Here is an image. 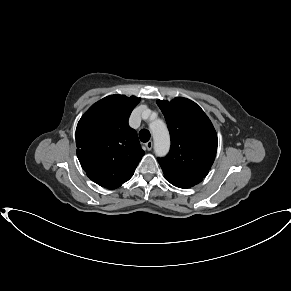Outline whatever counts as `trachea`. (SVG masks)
Instances as JSON below:
<instances>
[{"label":"trachea","mask_w":291,"mask_h":291,"mask_svg":"<svg viewBox=\"0 0 291 291\" xmlns=\"http://www.w3.org/2000/svg\"><path fill=\"white\" fill-rule=\"evenodd\" d=\"M139 138L142 142H148L150 139V132L148 130H141L139 132Z\"/></svg>","instance_id":"trachea-1"}]
</instances>
